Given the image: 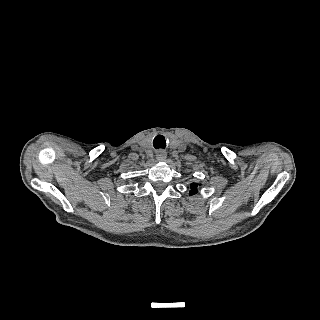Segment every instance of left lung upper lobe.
Masks as SVG:
<instances>
[{"instance_id": "1", "label": "left lung upper lobe", "mask_w": 320, "mask_h": 320, "mask_svg": "<svg viewBox=\"0 0 320 320\" xmlns=\"http://www.w3.org/2000/svg\"><path fill=\"white\" fill-rule=\"evenodd\" d=\"M190 187H191V190L189 191V194L190 195H194V194H196L197 192H198V184L197 183H192L191 185H190Z\"/></svg>"}]
</instances>
